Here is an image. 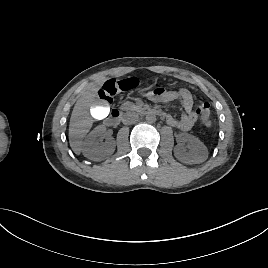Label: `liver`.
<instances>
[{
  "instance_id": "6515ba94",
  "label": "liver",
  "mask_w": 268,
  "mask_h": 268,
  "mask_svg": "<svg viewBox=\"0 0 268 268\" xmlns=\"http://www.w3.org/2000/svg\"><path fill=\"white\" fill-rule=\"evenodd\" d=\"M100 85L89 86L76 101L69 123V143L76 154L81 153V141L90 131L94 119L90 109L96 106L95 98Z\"/></svg>"
}]
</instances>
